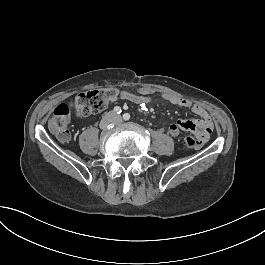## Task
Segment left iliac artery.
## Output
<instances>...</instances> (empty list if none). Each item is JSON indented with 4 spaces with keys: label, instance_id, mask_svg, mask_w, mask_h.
<instances>
[{
    "label": "left iliac artery",
    "instance_id": "left-iliac-artery-1",
    "mask_svg": "<svg viewBox=\"0 0 265 265\" xmlns=\"http://www.w3.org/2000/svg\"><path fill=\"white\" fill-rule=\"evenodd\" d=\"M123 119H124V120H129V119H130V114H129V113H125V114L123 115Z\"/></svg>",
    "mask_w": 265,
    "mask_h": 265
}]
</instances>
